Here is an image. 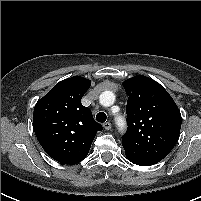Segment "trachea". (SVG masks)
Masks as SVG:
<instances>
[{"label": "trachea", "mask_w": 201, "mask_h": 201, "mask_svg": "<svg viewBox=\"0 0 201 201\" xmlns=\"http://www.w3.org/2000/svg\"><path fill=\"white\" fill-rule=\"evenodd\" d=\"M107 115L104 112H99L96 115V120L100 123H104L106 121Z\"/></svg>", "instance_id": "trachea-1"}]
</instances>
